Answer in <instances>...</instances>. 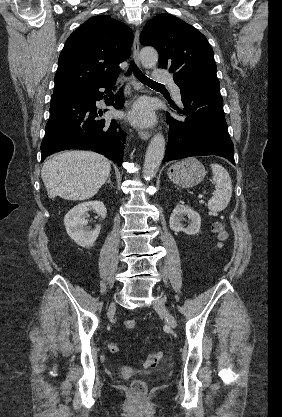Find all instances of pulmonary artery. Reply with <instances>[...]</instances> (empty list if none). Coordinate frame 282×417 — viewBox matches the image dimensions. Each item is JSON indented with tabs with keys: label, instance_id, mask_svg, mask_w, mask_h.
Instances as JSON below:
<instances>
[{
	"label": "pulmonary artery",
	"instance_id": "e3ab8cb5",
	"mask_svg": "<svg viewBox=\"0 0 282 417\" xmlns=\"http://www.w3.org/2000/svg\"><path fill=\"white\" fill-rule=\"evenodd\" d=\"M153 72L156 74V76L153 77V80L156 81V83H171V74H160L162 72V67L160 65H155L153 67ZM173 88L175 97L180 100V89L175 84H173Z\"/></svg>",
	"mask_w": 282,
	"mask_h": 417
}]
</instances>
